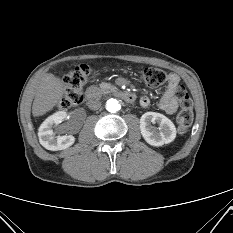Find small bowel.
<instances>
[{"mask_svg":"<svg viewBox=\"0 0 233 233\" xmlns=\"http://www.w3.org/2000/svg\"><path fill=\"white\" fill-rule=\"evenodd\" d=\"M180 78L175 73L167 75L166 90L159 101V108L167 114H174L178 110V101L174 96V90L179 85ZM140 104L146 107L150 104V99L146 96L140 98Z\"/></svg>","mask_w":233,"mask_h":233,"instance_id":"c3829d8e","label":"small bowel"}]
</instances>
